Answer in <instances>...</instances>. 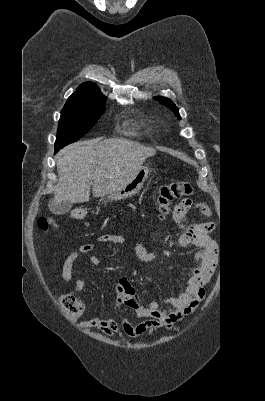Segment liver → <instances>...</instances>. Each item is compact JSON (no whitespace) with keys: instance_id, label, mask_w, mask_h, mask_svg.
Returning <instances> with one entry per match:
<instances>
[{"instance_id":"liver-1","label":"liver","mask_w":265,"mask_h":401,"mask_svg":"<svg viewBox=\"0 0 265 401\" xmlns=\"http://www.w3.org/2000/svg\"><path fill=\"white\" fill-rule=\"evenodd\" d=\"M92 138L68 144L57 156L59 182L53 201L87 203L91 182L94 196H106L121 188L141 168L148 156L156 154L153 146H144L129 138Z\"/></svg>"}]
</instances>
